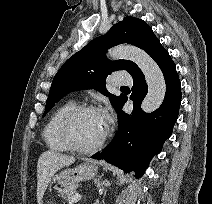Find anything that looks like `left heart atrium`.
Returning a JSON list of instances; mask_svg holds the SVG:
<instances>
[{
	"instance_id": "left-heart-atrium-1",
	"label": "left heart atrium",
	"mask_w": 212,
	"mask_h": 204,
	"mask_svg": "<svg viewBox=\"0 0 212 204\" xmlns=\"http://www.w3.org/2000/svg\"><path fill=\"white\" fill-rule=\"evenodd\" d=\"M102 115H103V117H104V119H105V121H106V123H107L108 120H109V113H108V111H103V112H102Z\"/></svg>"
}]
</instances>
